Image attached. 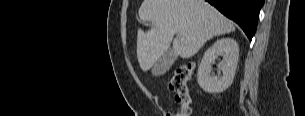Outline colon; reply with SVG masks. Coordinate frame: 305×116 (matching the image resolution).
<instances>
[{
	"instance_id": "colon-1",
	"label": "colon",
	"mask_w": 305,
	"mask_h": 116,
	"mask_svg": "<svg viewBox=\"0 0 305 116\" xmlns=\"http://www.w3.org/2000/svg\"><path fill=\"white\" fill-rule=\"evenodd\" d=\"M194 71V65L188 64L175 70L170 83V89L175 93V100L180 105L176 113H168L166 116H190L191 98L188 92L187 82Z\"/></svg>"
}]
</instances>
